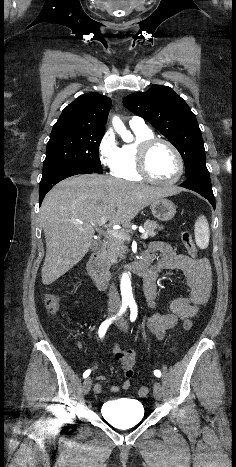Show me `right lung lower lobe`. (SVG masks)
Masks as SVG:
<instances>
[{"instance_id": "obj_1", "label": "right lung lower lobe", "mask_w": 236, "mask_h": 467, "mask_svg": "<svg viewBox=\"0 0 236 467\" xmlns=\"http://www.w3.org/2000/svg\"><path fill=\"white\" fill-rule=\"evenodd\" d=\"M92 172L94 171L78 165H61L43 171L39 186V204L41 205L46 193L61 180L76 174H88Z\"/></svg>"}]
</instances>
